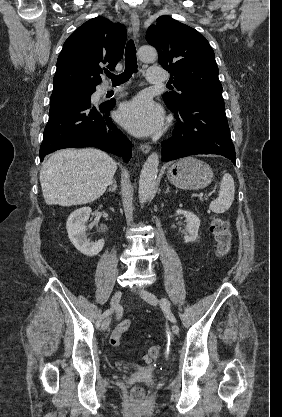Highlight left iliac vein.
Returning <instances> with one entry per match:
<instances>
[{
  "instance_id": "obj_1",
  "label": "left iliac vein",
  "mask_w": 282,
  "mask_h": 417,
  "mask_svg": "<svg viewBox=\"0 0 282 417\" xmlns=\"http://www.w3.org/2000/svg\"><path fill=\"white\" fill-rule=\"evenodd\" d=\"M139 294L142 299H144L150 305L156 306L159 303L158 298L153 294L146 290H140ZM172 333L177 335L179 333V327L176 324L172 325Z\"/></svg>"
}]
</instances>
